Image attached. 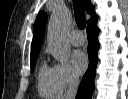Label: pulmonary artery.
Returning <instances> with one entry per match:
<instances>
[{"label":"pulmonary artery","instance_id":"obj_1","mask_svg":"<svg viewBox=\"0 0 128 99\" xmlns=\"http://www.w3.org/2000/svg\"><path fill=\"white\" fill-rule=\"evenodd\" d=\"M70 39L72 44H74L75 46H81L85 42L84 35L78 30L72 31Z\"/></svg>","mask_w":128,"mask_h":99}]
</instances>
